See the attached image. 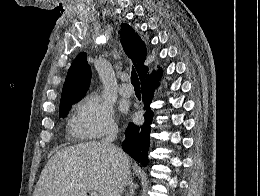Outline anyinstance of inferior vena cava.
<instances>
[{
  "label": "inferior vena cava",
  "instance_id": "1",
  "mask_svg": "<svg viewBox=\"0 0 260 196\" xmlns=\"http://www.w3.org/2000/svg\"><path fill=\"white\" fill-rule=\"evenodd\" d=\"M116 138H117V132H109V134H107L106 138H103V140H101V146H102V148H107V150H112V152H114L115 162H118V164H126V162H127L126 156H120V154H117V152L115 150V146H114V144H112V142H114V140H116ZM117 180H118L117 190H116V192H114V196H123L126 182H124L123 176H118Z\"/></svg>",
  "mask_w": 260,
  "mask_h": 196
}]
</instances>
